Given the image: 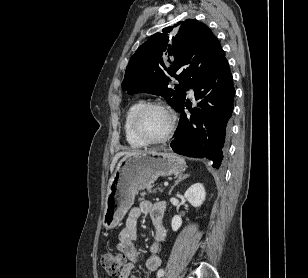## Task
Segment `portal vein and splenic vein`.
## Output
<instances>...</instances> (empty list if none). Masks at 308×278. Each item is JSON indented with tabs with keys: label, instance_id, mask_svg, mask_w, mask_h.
I'll use <instances>...</instances> for the list:
<instances>
[{
	"label": "portal vein and splenic vein",
	"instance_id": "1",
	"mask_svg": "<svg viewBox=\"0 0 308 278\" xmlns=\"http://www.w3.org/2000/svg\"><path fill=\"white\" fill-rule=\"evenodd\" d=\"M164 186H165V187L168 186V182H165V183H164Z\"/></svg>",
	"mask_w": 308,
	"mask_h": 278
}]
</instances>
